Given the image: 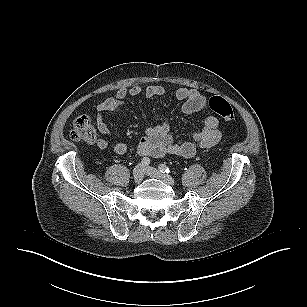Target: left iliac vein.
<instances>
[{
    "mask_svg": "<svg viewBox=\"0 0 307 307\" xmlns=\"http://www.w3.org/2000/svg\"><path fill=\"white\" fill-rule=\"evenodd\" d=\"M144 172L148 176L156 178V179H160L161 181H163L164 183H166L168 185L173 186L175 184V181L171 176L163 174L162 172H160L159 170H157L153 167H146L144 169Z\"/></svg>",
    "mask_w": 307,
    "mask_h": 307,
    "instance_id": "4c4485c4",
    "label": "left iliac vein"
}]
</instances>
